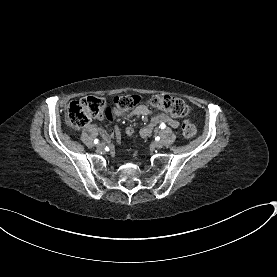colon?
<instances>
[{"label":"colon","mask_w":277,"mask_h":277,"mask_svg":"<svg viewBox=\"0 0 277 277\" xmlns=\"http://www.w3.org/2000/svg\"><path fill=\"white\" fill-rule=\"evenodd\" d=\"M115 105H119L121 110H127L135 106L133 95H117L113 98ZM149 103L158 112L169 114L171 116L184 118L189 114L187 103L177 96L172 95H152ZM69 108V120L74 128L86 126L90 121H97L102 116L105 108V101L102 94H89L82 99H71ZM108 116V114H107ZM182 133L186 137H192L195 134V126L188 120L181 125Z\"/></svg>","instance_id":"1"}]
</instances>
